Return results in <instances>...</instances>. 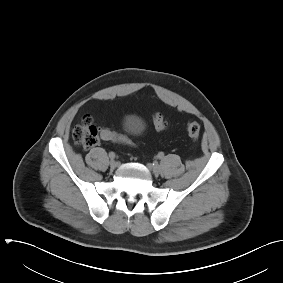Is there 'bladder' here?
I'll use <instances>...</instances> for the list:
<instances>
[{"label":"bladder","mask_w":283,"mask_h":283,"mask_svg":"<svg viewBox=\"0 0 283 283\" xmlns=\"http://www.w3.org/2000/svg\"><path fill=\"white\" fill-rule=\"evenodd\" d=\"M143 122L135 116H128L124 120V128L129 134H139L143 130Z\"/></svg>","instance_id":"bladder-1"}]
</instances>
